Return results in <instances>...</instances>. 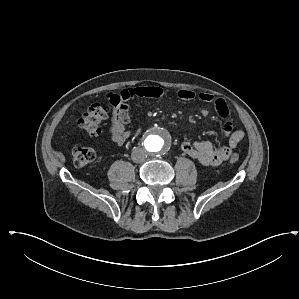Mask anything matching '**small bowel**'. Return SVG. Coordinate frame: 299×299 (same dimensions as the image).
<instances>
[{
  "mask_svg": "<svg viewBox=\"0 0 299 299\" xmlns=\"http://www.w3.org/2000/svg\"><path fill=\"white\" fill-rule=\"evenodd\" d=\"M164 92L159 86H142L136 88L122 89L119 92L107 96L112 106L109 116L108 135L110 139L118 144H124L130 137L127 125L130 121V102L136 98H148L158 100L163 98ZM178 96L183 101H191L196 94L189 89H181ZM198 99L213 104L218 116L223 120V134L228 146H213L206 141H183L182 151L205 166H218L229 157L232 149H235L244 139L245 133L242 130H234L233 122L227 102L223 98H214L209 93H200Z\"/></svg>",
  "mask_w": 299,
  "mask_h": 299,
  "instance_id": "c3829d8e",
  "label": "small bowel"
}]
</instances>
